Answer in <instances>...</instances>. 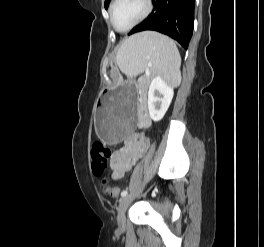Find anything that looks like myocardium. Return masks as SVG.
Listing matches in <instances>:
<instances>
[{"instance_id":"obj_1","label":"myocardium","mask_w":264,"mask_h":247,"mask_svg":"<svg viewBox=\"0 0 264 247\" xmlns=\"http://www.w3.org/2000/svg\"><path fill=\"white\" fill-rule=\"evenodd\" d=\"M118 0H113L110 8H109V20H110V24L112 25V27L117 31V32H127L132 30L133 28H135L136 26H138L140 23H142L151 13L152 9H153V2L152 0H144L145 3V10L143 12V14L130 26H128L127 28L124 29H120L118 28L115 23H114V19H113V13H114V7L117 4Z\"/></svg>"}]
</instances>
